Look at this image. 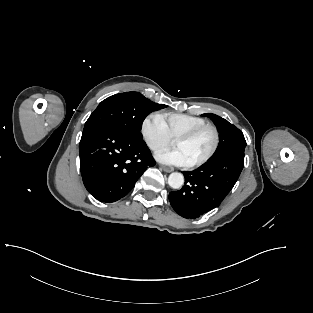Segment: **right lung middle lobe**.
I'll list each match as a JSON object with an SVG mask.
<instances>
[{
    "label": "right lung middle lobe",
    "mask_w": 313,
    "mask_h": 313,
    "mask_svg": "<svg viewBox=\"0 0 313 313\" xmlns=\"http://www.w3.org/2000/svg\"><path fill=\"white\" fill-rule=\"evenodd\" d=\"M167 107L145 98L138 92L116 94L103 100L85 123L83 132L96 126H110L130 137L143 139L140 130L146 116Z\"/></svg>",
    "instance_id": "dd1d6c3e"
}]
</instances>
